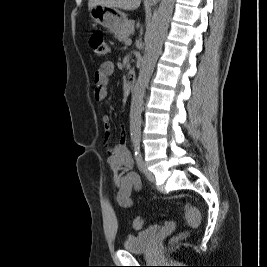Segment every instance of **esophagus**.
Masks as SVG:
<instances>
[{
  "label": "esophagus",
  "instance_id": "1",
  "mask_svg": "<svg viewBox=\"0 0 267 267\" xmlns=\"http://www.w3.org/2000/svg\"><path fill=\"white\" fill-rule=\"evenodd\" d=\"M147 1H150V2H157V1H159V0H147Z\"/></svg>",
  "mask_w": 267,
  "mask_h": 267
}]
</instances>
